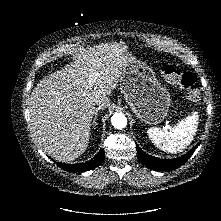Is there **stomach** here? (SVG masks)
<instances>
[{
	"mask_svg": "<svg viewBox=\"0 0 221 221\" xmlns=\"http://www.w3.org/2000/svg\"><path fill=\"white\" fill-rule=\"evenodd\" d=\"M126 64L119 87L136 117L146 124H158L167 116L170 94L154 71L133 54H125Z\"/></svg>",
	"mask_w": 221,
	"mask_h": 221,
	"instance_id": "1",
	"label": "stomach"
}]
</instances>
